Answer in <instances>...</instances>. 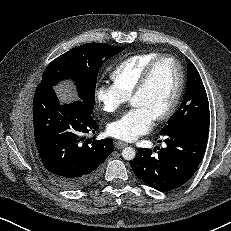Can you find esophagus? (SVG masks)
I'll use <instances>...</instances> for the list:
<instances>
[{
  "label": "esophagus",
  "instance_id": "1",
  "mask_svg": "<svg viewBox=\"0 0 231 231\" xmlns=\"http://www.w3.org/2000/svg\"><path fill=\"white\" fill-rule=\"evenodd\" d=\"M127 146V144L125 143V142H122V141H116L115 142V147L117 148V149H122V148H124V147H126Z\"/></svg>",
  "mask_w": 231,
  "mask_h": 231
}]
</instances>
